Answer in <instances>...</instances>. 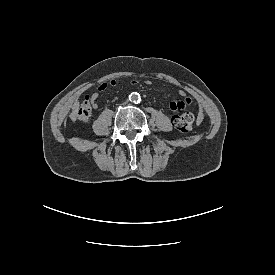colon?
<instances>
[{
  "label": "colon",
  "mask_w": 275,
  "mask_h": 275,
  "mask_svg": "<svg viewBox=\"0 0 275 275\" xmlns=\"http://www.w3.org/2000/svg\"><path fill=\"white\" fill-rule=\"evenodd\" d=\"M117 82L111 80L110 86H115ZM107 85V84H106ZM92 105L89 96H85L81 105L75 111V116L79 120H87L91 116ZM172 121L176 128L181 132H190L193 129L195 123V117L191 113H183L172 118Z\"/></svg>",
  "instance_id": "colon-1"
}]
</instances>
